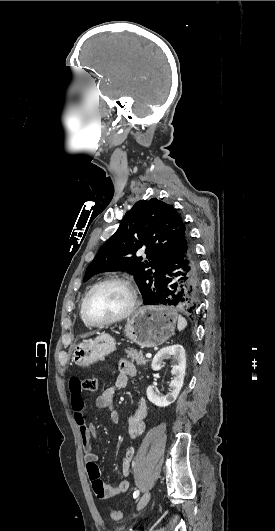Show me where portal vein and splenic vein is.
I'll list each match as a JSON object with an SVG mask.
<instances>
[{"mask_svg": "<svg viewBox=\"0 0 275 531\" xmlns=\"http://www.w3.org/2000/svg\"><path fill=\"white\" fill-rule=\"evenodd\" d=\"M146 357H147V359H151V357H152L151 353H147Z\"/></svg>", "mask_w": 275, "mask_h": 531, "instance_id": "1", "label": "portal vein and splenic vein"}]
</instances>
